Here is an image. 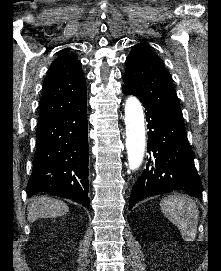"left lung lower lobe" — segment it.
I'll return each mask as SVG.
<instances>
[{
	"mask_svg": "<svg viewBox=\"0 0 221 271\" xmlns=\"http://www.w3.org/2000/svg\"><path fill=\"white\" fill-rule=\"evenodd\" d=\"M123 93L137 96L124 86ZM140 101L146 110L149 129L147 151L152 153L146 169L132 188L129 210L146 197L173 190H182L199 198L202 185L184 123L164 115L142 99Z\"/></svg>",
	"mask_w": 221,
	"mask_h": 271,
	"instance_id": "0a47b994",
	"label": "left lung lower lobe"
}]
</instances>
